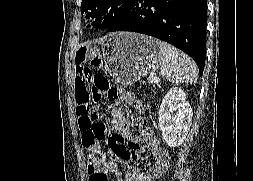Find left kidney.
<instances>
[{"mask_svg": "<svg viewBox=\"0 0 253 181\" xmlns=\"http://www.w3.org/2000/svg\"><path fill=\"white\" fill-rule=\"evenodd\" d=\"M192 116L186 93L181 88L172 87L164 96L159 109V128L169 147H176L184 142Z\"/></svg>", "mask_w": 253, "mask_h": 181, "instance_id": "5707ae66", "label": "left kidney"}]
</instances>
